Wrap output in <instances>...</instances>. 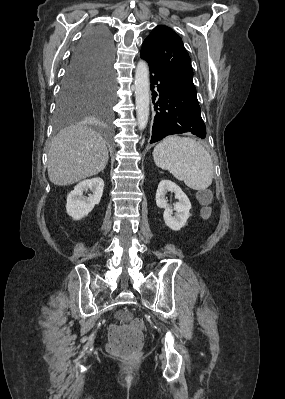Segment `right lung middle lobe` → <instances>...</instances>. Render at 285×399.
<instances>
[{"mask_svg":"<svg viewBox=\"0 0 285 399\" xmlns=\"http://www.w3.org/2000/svg\"><path fill=\"white\" fill-rule=\"evenodd\" d=\"M113 99V77H64L57 99V124L60 126L85 111H92L101 119L109 121Z\"/></svg>","mask_w":285,"mask_h":399,"instance_id":"1","label":"right lung middle lobe"}]
</instances>
